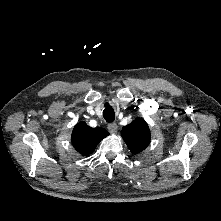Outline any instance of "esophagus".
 <instances>
[{
  "instance_id": "34e87169",
  "label": "esophagus",
  "mask_w": 221,
  "mask_h": 221,
  "mask_svg": "<svg viewBox=\"0 0 221 221\" xmlns=\"http://www.w3.org/2000/svg\"><path fill=\"white\" fill-rule=\"evenodd\" d=\"M108 129L111 133H115L117 131V124L116 123H110L108 125Z\"/></svg>"
}]
</instances>
